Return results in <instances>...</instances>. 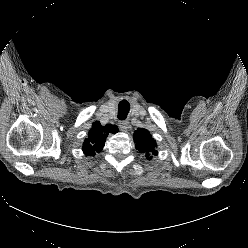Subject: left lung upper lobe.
I'll list each match as a JSON object with an SVG mask.
<instances>
[{"instance_id": "left-lung-upper-lobe-1", "label": "left lung upper lobe", "mask_w": 248, "mask_h": 248, "mask_svg": "<svg viewBox=\"0 0 248 248\" xmlns=\"http://www.w3.org/2000/svg\"><path fill=\"white\" fill-rule=\"evenodd\" d=\"M134 141L136 143V149L141 153L157 155L156 142L152 138L148 130L139 128L134 133ZM151 159L152 157H148Z\"/></svg>"}]
</instances>
